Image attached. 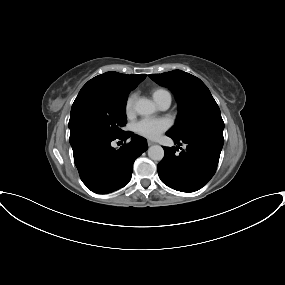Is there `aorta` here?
<instances>
[{"label":"aorta","mask_w":285,"mask_h":285,"mask_svg":"<svg viewBox=\"0 0 285 285\" xmlns=\"http://www.w3.org/2000/svg\"><path fill=\"white\" fill-rule=\"evenodd\" d=\"M134 108L139 115L144 116L151 115L156 111L155 104L147 98H140ZM148 156L154 161H161L164 157V150L160 145H153L148 149Z\"/></svg>","instance_id":"obj_1"}]
</instances>
